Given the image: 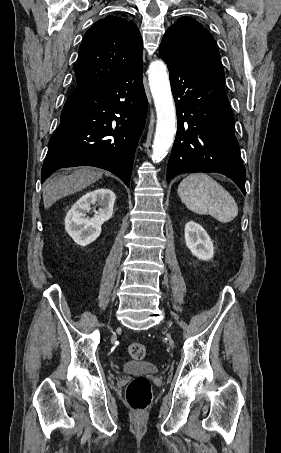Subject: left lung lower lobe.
I'll return each mask as SVG.
<instances>
[{
	"mask_svg": "<svg viewBox=\"0 0 281 453\" xmlns=\"http://www.w3.org/2000/svg\"><path fill=\"white\" fill-rule=\"evenodd\" d=\"M159 53L170 71L178 119L167 182L182 172H217L231 178L245 195V168L225 92L224 71L191 67L164 50Z\"/></svg>",
	"mask_w": 281,
	"mask_h": 453,
	"instance_id": "1",
	"label": "left lung lower lobe"
}]
</instances>
